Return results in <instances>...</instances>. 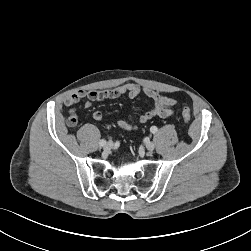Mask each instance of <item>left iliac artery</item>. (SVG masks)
<instances>
[{
  "label": "left iliac artery",
  "mask_w": 251,
  "mask_h": 251,
  "mask_svg": "<svg viewBox=\"0 0 251 251\" xmlns=\"http://www.w3.org/2000/svg\"><path fill=\"white\" fill-rule=\"evenodd\" d=\"M157 131H158V128L156 126H152L150 128V132L153 133V134H155Z\"/></svg>",
  "instance_id": "44dca946"
}]
</instances>
